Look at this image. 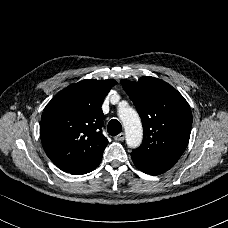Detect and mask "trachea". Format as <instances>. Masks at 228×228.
Wrapping results in <instances>:
<instances>
[{
    "label": "trachea",
    "mask_w": 228,
    "mask_h": 228,
    "mask_svg": "<svg viewBox=\"0 0 228 228\" xmlns=\"http://www.w3.org/2000/svg\"><path fill=\"white\" fill-rule=\"evenodd\" d=\"M107 131L111 136H116L122 131V125L117 119H112L108 123Z\"/></svg>",
    "instance_id": "1"
}]
</instances>
